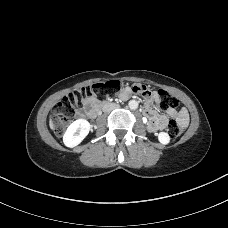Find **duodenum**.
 I'll list each match as a JSON object with an SVG mask.
<instances>
[{
	"mask_svg": "<svg viewBox=\"0 0 228 228\" xmlns=\"http://www.w3.org/2000/svg\"><path fill=\"white\" fill-rule=\"evenodd\" d=\"M106 107H117V104L114 102H110V101H104L101 102L99 104H96L95 107L88 113V116L90 118H95L98 116V114L100 113V111ZM159 124V120L157 118L154 117H150L148 120V128L150 130H155V126Z\"/></svg>",
	"mask_w": 228,
	"mask_h": 228,
	"instance_id": "duodenum-1",
	"label": "duodenum"
}]
</instances>
